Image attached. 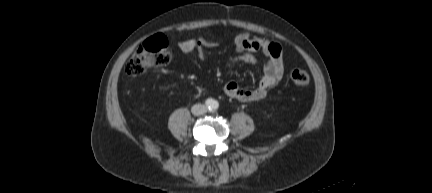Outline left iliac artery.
I'll list each match as a JSON object with an SVG mask.
<instances>
[{"instance_id":"44dca946","label":"left iliac artery","mask_w":432,"mask_h":193,"mask_svg":"<svg viewBox=\"0 0 432 193\" xmlns=\"http://www.w3.org/2000/svg\"><path fill=\"white\" fill-rule=\"evenodd\" d=\"M218 107H219V103L217 101H214L212 104V110L216 111L218 109Z\"/></svg>"}]
</instances>
